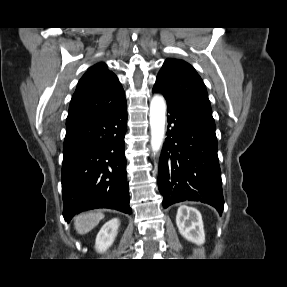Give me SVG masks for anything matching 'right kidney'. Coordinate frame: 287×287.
I'll list each match as a JSON object with an SVG mask.
<instances>
[{
  "mask_svg": "<svg viewBox=\"0 0 287 287\" xmlns=\"http://www.w3.org/2000/svg\"><path fill=\"white\" fill-rule=\"evenodd\" d=\"M119 220L114 218L106 222L97 234L95 248L98 252H104L109 248L117 235Z\"/></svg>",
  "mask_w": 287,
  "mask_h": 287,
  "instance_id": "1",
  "label": "right kidney"
}]
</instances>
